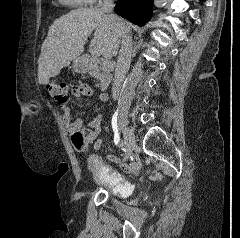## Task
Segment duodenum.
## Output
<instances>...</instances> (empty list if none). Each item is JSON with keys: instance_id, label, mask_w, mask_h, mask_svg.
I'll return each instance as SVG.
<instances>
[{"instance_id": "obj_1", "label": "duodenum", "mask_w": 240, "mask_h": 238, "mask_svg": "<svg viewBox=\"0 0 240 238\" xmlns=\"http://www.w3.org/2000/svg\"><path fill=\"white\" fill-rule=\"evenodd\" d=\"M87 71L95 77H98L101 82L102 89H107L112 81V75L108 72H100L97 65L92 60L86 61Z\"/></svg>"}]
</instances>
